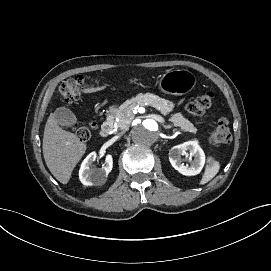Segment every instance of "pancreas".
Masks as SVG:
<instances>
[{
	"label": "pancreas",
	"instance_id": "1",
	"mask_svg": "<svg viewBox=\"0 0 271 271\" xmlns=\"http://www.w3.org/2000/svg\"><path fill=\"white\" fill-rule=\"evenodd\" d=\"M141 101V103L150 105L157 110H160L162 114H167L169 111H173L175 109V104L173 102H169L166 99L160 98L159 96L153 94H139L134 100H127L124 102L116 111L115 117L119 119L117 125L120 129L128 128L130 122L134 118V114L132 110L136 106V102ZM174 126L180 127L183 131L196 133L197 129L194 125L184 118L181 113H176L172 115L169 119Z\"/></svg>",
	"mask_w": 271,
	"mask_h": 271
}]
</instances>
